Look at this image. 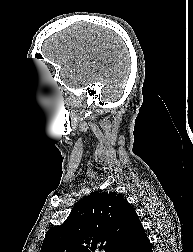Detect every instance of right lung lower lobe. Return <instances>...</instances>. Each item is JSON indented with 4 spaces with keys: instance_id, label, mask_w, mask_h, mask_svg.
Here are the masks:
<instances>
[{
    "instance_id": "obj_1",
    "label": "right lung lower lobe",
    "mask_w": 193,
    "mask_h": 252,
    "mask_svg": "<svg viewBox=\"0 0 193 252\" xmlns=\"http://www.w3.org/2000/svg\"><path fill=\"white\" fill-rule=\"evenodd\" d=\"M123 252H153L150 241L144 229L140 230L134 240L123 250Z\"/></svg>"
}]
</instances>
